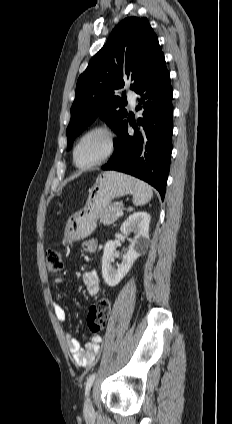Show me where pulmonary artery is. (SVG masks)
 I'll return each instance as SVG.
<instances>
[{
  "instance_id": "pulmonary-artery-1",
  "label": "pulmonary artery",
  "mask_w": 232,
  "mask_h": 424,
  "mask_svg": "<svg viewBox=\"0 0 232 424\" xmlns=\"http://www.w3.org/2000/svg\"><path fill=\"white\" fill-rule=\"evenodd\" d=\"M127 97L131 106L134 107L136 104V94L133 91H129Z\"/></svg>"
}]
</instances>
